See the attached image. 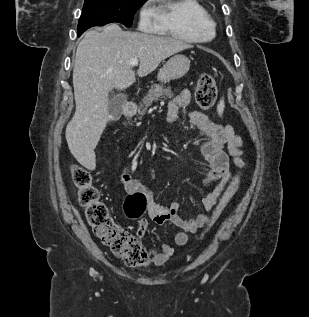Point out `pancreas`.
I'll return each instance as SVG.
<instances>
[{
    "instance_id": "1",
    "label": "pancreas",
    "mask_w": 309,
    "mask_h": 317,
    "mask_svg": "<svg viewBox=\"0 0 309 317\" xmlns=\"http://www.w3.org/2000/svg\"><path fill=\"white\" fill-rule=\"evenodd\" d=\"M173 93L170 87H164L160 84H154L149 89L147 95L143 98L142 103L139 107V115H144L149 106L152 105L153 101L159 100L160 98H171Z\"/></svg>"
}]
</instances>
